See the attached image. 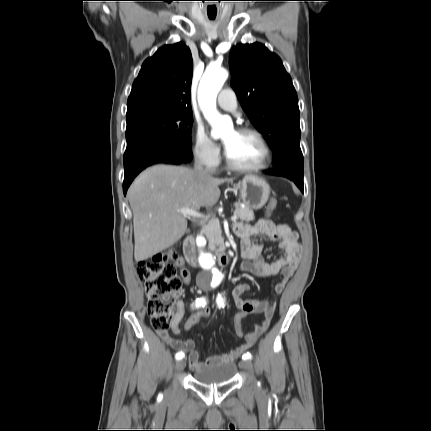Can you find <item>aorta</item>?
I'll return each mask as SVG.
<instances>
[{
    "label": "aorta",
    "instance_id": "762f6f07",
    "mask_svg": "<svg viewBox=\"0 0 431 431\" xmlns=\"http://www.w3.org/2000/svg\"><path fill=\"white\" fill-rule=\"evenodd\" d=\"M228 78V72L221 67L209 66L200 81L198 90V102L205 118L212 126L213 138L222 137L230 128L229 121L221 116L216 109V98L223 84ZM206 235L200 232L197 235V246L199 248V263L208 271L209 279L221 281L223 274L216 268L215 257L205 250Z\"/></svg>",
    "mask_w": 431,
    "mask_h": 431
}]
</instances>
